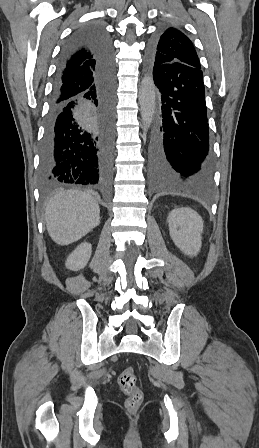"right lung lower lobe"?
I'll return each mask as SVG.
<instances>
[{"label": "right lung lower lobe", "instance_id": "98d812e1", "mask_svg": "<svg viewBox=\"0 0 259 448\" xmlns=\"http://www.w3.org/2000/svg\"><path fill=\"white\" fill-rule=\"evenodd\" d=\"M85 50L95 62L89 89L62 95L60 76L68 61ZM115 72L113 47L101 25L77 29L63 46L40 147V178L98 185L109 181L114 156Z\"/></svg>", "mask_w": 259, "mask_h": 448}]
</instances>
